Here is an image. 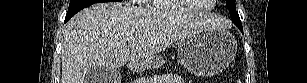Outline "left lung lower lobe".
<instances>
[{
  "label": "left lung lower lobe",
  "mask_w": 307,
  "mask_h": 83,
  "mask_svg": "<svg viewBox=\"0 0 307 83\" xmlns=\"http://www.w3.org/2000/svg\"><path fill=\"white\" fill-rule=\"evenodd\" d=\"M238 28L241 30V32H243V28H242V26H238Z\"/></svg>",
  "instance_id": "left-lung-lower-lobe-1"
}]
</instances>
